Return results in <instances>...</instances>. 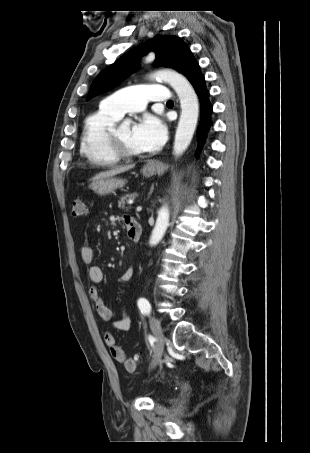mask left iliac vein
I'll return each mask as SVG.
<instances>
[{"mask_svg":"<svg viewBox=\"0 0 310 453\" xmlns=\"http://www.w3.org/2000/svg\"><path fill=\"white\" fill-rule=\"evenodd\" d=\"M150 328L156 339L154 357H153V361H152V366L154 367L160 361V357H161L163 349H164L165 339H164L163 332L161 329L160 321L157 318L150 317Z\"/></svg>","mask_w":310,"mask_h":453,"instance_id":"left-iliac-vein-1","label":"left iliac vein"}]
</instances>
